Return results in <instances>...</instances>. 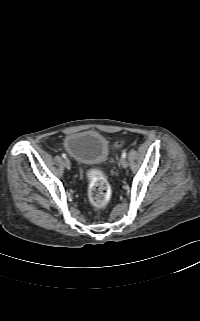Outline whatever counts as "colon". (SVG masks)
<instances>
[{
	"label": "colon",
	"instance_id": "obj_1",
	"mask_svg": "<svg viewBox=\"0 0 200 321\" xmlns=\"http://www.w3.org/2000/svg\"><path fill=\"white\" fill-rule=\"evenodd\" d=\"M89 199L97 208L105 207L111 197L110 185L100 170L92 169L88 172Z\"/></svg>",
	"mask_w": 200,
	"mask_h": 321
}]
</instances>
